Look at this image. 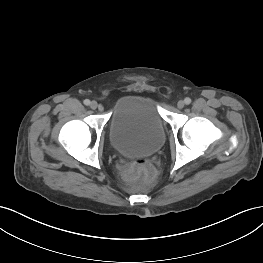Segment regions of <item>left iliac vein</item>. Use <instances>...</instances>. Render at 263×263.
<instances>
[{"label":"left iliac vein","mask_w":263,"mask_h":263,"mask_svg":"<svg viewBox=\"0 0 263 263\" xmlns=\"http://www.w3.org/2000/svg\"><path fill=\"white\" fill-rule=\"evenodd\" d=\"M184 106H185V102H184L183 100L178 101L177 107H178L179 109H182Z\"/></svg>","instance_id":"1"}]
</instances>
